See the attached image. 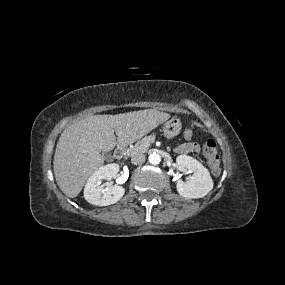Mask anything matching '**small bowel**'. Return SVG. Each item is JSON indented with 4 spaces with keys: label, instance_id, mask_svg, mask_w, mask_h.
<instances>
[{
    "label": "small bowel",
    "instance_id": "small-bowel-1",
    "mask_svg": "<svg viewBox=\"0 0 285 285\" xmlns=\"http://www.w3.org/2000/svg\"><path fill=\"white\" fill-rule=\"evenodd\" d=\"M200 151L199 145L192 140L187 141L177 148V152L181 154L198 153Z\"/></svg>",
    "mask_w": 285,
    "mask_h": 285
}]
</instances>
